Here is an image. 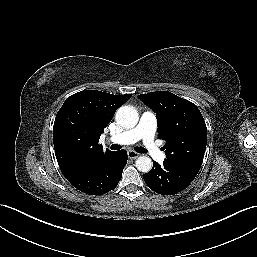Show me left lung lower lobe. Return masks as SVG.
Masks as SVG:
<instances>
[{"label": "left lung lower lobe", "instance_id": "1", "mask_svg": "<svg viewBox=\"0 0 257 257\" xmlns=\"http://www.w3.org/2000/svg\"><path fill=\"white\" fill-rule=\"evenodd\" d=\"M198 169L184 163L164 160L163 165L153 161V168L143 175L150 189L162 195H172L184 190L196 177Z\"/></svg>", "mask_w": 257, "mask_h": 257}]
</instances>
